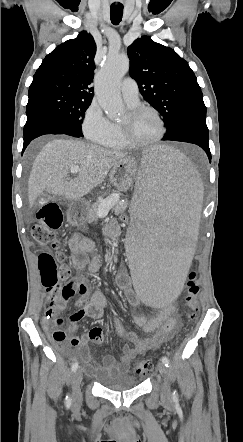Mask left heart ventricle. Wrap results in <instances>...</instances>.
I'll return each instance as SVG.
<instances>
[{"label": "left heart ventricle", "instance_id": "obj_1", "mask_svg": "<svg viewBox=\"0 0 243 442\" xmlns=\"http://www.w3.org/2000/svg\"><path fill=\"white\" fill-rule=\"evenodd\" d=\"M121 122L129 124V135L138 142L149 141L160 131L158 120L151 112H143L136 117H131L128 112Z\"/></svg>", "mask_w": 243, "mask_h": 442}]
</instances>
